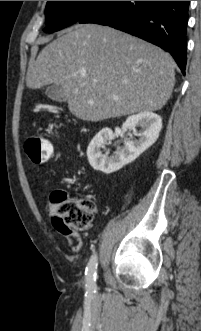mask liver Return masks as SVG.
I'll use <instances>...</instances> for the list:
<instances>
[{
    "label": "liver",
    "mask_w": 201,
    "mask_h": 331,
    "mask_svg": "<svg viewBox=\"0 0 201 331\" xmlns=\"http://www.w3.org/2000/svg\"><path fill=\"white\" fill-rule=\"evenodd\" d=\"M49 84L63 88L70 112L85 121L158 111L175 85L174 61L157 46L119 30L75 25L44 47L28 68L27 87Z\"/></svg>",
    "instance_id": "1"
}]
</instances>
